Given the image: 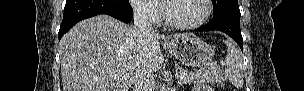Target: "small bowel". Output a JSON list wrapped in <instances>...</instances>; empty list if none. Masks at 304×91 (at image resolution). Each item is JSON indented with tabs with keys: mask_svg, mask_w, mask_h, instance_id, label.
I'll use <instances>...</instances> for the list:
<instances>
[{
	"mask_svg": "<svg viewBox=\"0 0 304 91\" xmlns=\"http://www.w3.org/2000/svg\"><path fill=\"white\" fill-rule=\"evenodd\" d=\"M194 90L195 91H207V90H210V89L209 88H205L203 86H199V87H196Z\"/></svg>",
	"mask_w": 304,
	"mask_h": 91,
	"instance_id": "obj_1",
	"label": "small bowel"
}]
</instances>
